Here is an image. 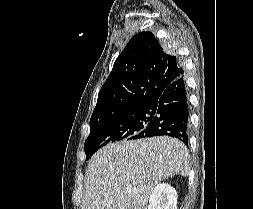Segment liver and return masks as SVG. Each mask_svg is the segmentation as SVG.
Listing matches in <instances>:
<instances>
[{"instance_id":"6515ba94","label":"liver","mask_w":253,"mask_h":209,"mask_svg":"<svg viewBox=\"0 0 253 209\" xmlns=\"http://www.w3.org/2000/svg\"><path fill=\"white\" fill-rule=\"evenodd\" d=\"M188 159L186 146L168 136L108 144L87 166L81 209H147L161 180L189 174Z\"/></svg>"}]
</instances>
